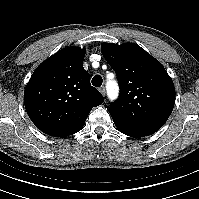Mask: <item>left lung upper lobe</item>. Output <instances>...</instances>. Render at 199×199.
I'll return each instance as SVG.
<instances>
[{
  "label": "left lung upper lobe",
  "mask_w": 199,
  "mask_h": 199,
  "mask_svg": "<svg viewBox=\"0 0 199 199\" xmlns=\"http://www.w3.org/2000/svg\"><path fill=\"white\" fill-rule=\"evenodd\" d=\"M101 52L120 84V96L110 105V115L149 135L155 133L175 103L174 84L164 67L134 43H102Z\"/></svg>",
  "instance_id": "left-lung-upper-lobe-1"
}]
</instances>
